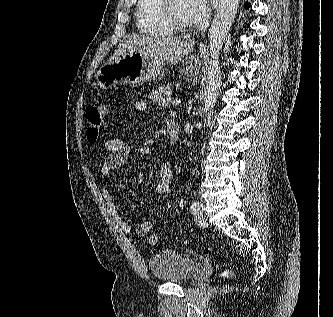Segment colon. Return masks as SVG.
Returning a JSON list of instances; mask_svg holds the SVG:
<instances>
[{
	"label": "colon",
	"mask_w": 333,
	"mask_h": 317,
	"mask_svg": "<svg viewBox=\"0 0 333 317\" xmlns=\"http://www.w3.org/2000/svg\"><path fill=\"white\" fill-rule=\"evenodd\" d=\"M106 105L100 100H95L90 103L86 109L87 117V140L89 143L93 144L97 141L101 127L103 125L106 116ZM158 235L151 234L149 237V242L151 245L158 244ZM232 276V271L230 268H224L221 271V277L228 279Z\"/></svg>",
	"instance_id": "1"
}]
</instances>
